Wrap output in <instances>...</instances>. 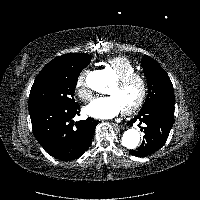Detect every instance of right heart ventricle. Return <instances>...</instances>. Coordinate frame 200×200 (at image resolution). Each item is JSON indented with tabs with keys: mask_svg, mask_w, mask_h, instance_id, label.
Instances as JSON below:
<instances>
[{
	"mask_svg": "<svg viewBox=\"0 0 200 200\" xmlns=\"http://www.w3.org/2000/svg\"><path fill=\"white\" fill-rule=\"evenodd\" d=\"M105 65L111 69L117 78L136 72L134 63L125 56H116L106 60Z\"/></svg>",
	"mask_w": 200,
	"mask_h": 200,
	"instance_id": "1",
	"label": "right heart ventricle"
}]
</instances>
